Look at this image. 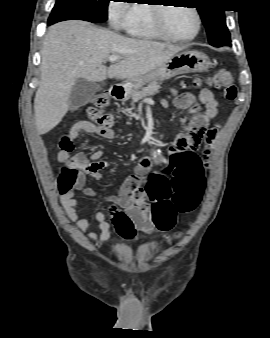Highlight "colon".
I'll use <instances>...</instances> for the list:
<instances>
[{
	"instance_id": "5ec220e1",
	"label": "colon",
	"mask_w": 270,
	"mask_h": 338,
	"mask_svg": "<svg viewBox=\"0 0 270 338\" xmlns=\"http://www.w3.org/2000/svg\"><path fill=\"white\" fill-rule=\"evenodd\" d=\"M214 87L222 91L224 97L228 100H233L236 97L235 81L232 75L225 69H219L216 71L214 79L212 81ZM201 86L200 81H195L194 87L199 88ZM110 102L109 97L105 93L95 94L90 102V106L87 109V114L94 124L101 126H110L115 123V119L110 114H105L101 110L108 106ZM192 141L195 146H199L201 142L208 140L209 134L205 125H199L191 134ZM184 143V137L178 136L174 145L178 146ZM60 150L71 151L72 146L69 143L60 144ZM204 154H208V149L205 148ZM168 173L170 170H166ZM78 175V169L70 164H65L58 177L60 191L66 190V188L73 182ZM174 191L167 197L171 198V202H157L151 207L144 205V208L148 210V218L154 224L167 227L172 223L173 216L176 213H185L192 211L199 204L202 189L203 179L200 171H196L187 185L176 183L173 186ZM112 220L118 226H125L129 231H133V227L129 217L121 211L115 212ZM178 236H180L178 234Z\"/></svg>"
}]
</instances>
